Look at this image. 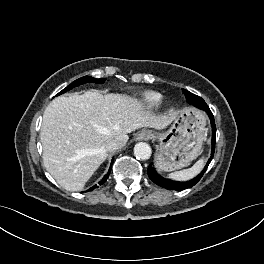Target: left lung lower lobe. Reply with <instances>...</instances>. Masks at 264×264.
Returning <instances> with one entry per match:
<instances>
[{
    "instance_id": "obj_1",
    "label": "left lung lower lobe",
    "mask_w": 264,
    "mask_h": 264,
    "mask_svg": "<svg viewBox=\"0 0 264 264\" xmlns=\"http://www.w3.org/2000/svg\"><path fill=\"white\" fill-rule=\"evenodd\" d=\"M196 107L205 110L207 112V114L210 117L211 120V126H212V151H211V157L208 160V163L206 164L205 168L203 169V171L194 179L188 181V182H175V181H171L165 178H162L160 175H158L156 173V171L154 170V168L152 167V164L149 165L148 167V176L149 178L156 183L157 185L169 189V190H184L187 188H190L192 186H194L203 176V174L205 173V171L208 168L209 163L211 162L213 155H214V151H215V140H216V126H215V121H214V117L213 114L211 113L209 107L207 105H195Z\"/></svg>"
}]
</instances>
